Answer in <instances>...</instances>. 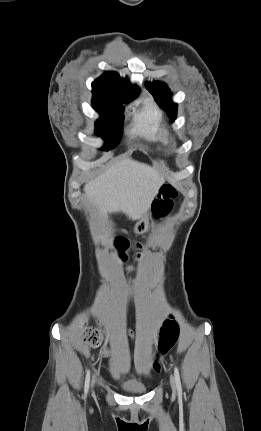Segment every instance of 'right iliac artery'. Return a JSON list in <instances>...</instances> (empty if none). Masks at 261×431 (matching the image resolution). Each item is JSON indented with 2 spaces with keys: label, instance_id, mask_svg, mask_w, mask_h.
<instances>
[{
  "label": "right iliac artery",
  "instance_id": "82829eb1",
  "mask_svg": "<svg viewBox=\"0 0 261 431\" xmlns=\"http://www.w3.org/2000/svg\"><path fill=\"white\" fill-rule=\"evenodd\" d=\"M90 385V371H87L86 378H85V395L88 393Z\"/></svg>",
  "mask_w": 261,
  "mask_h": 431
}]
</instances>
